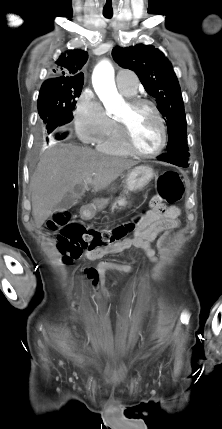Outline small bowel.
Segmentation results:
<instances>
[{"mask_svg": "<svg viewBox=\"0 0 222 429\" xmlns=\"http://www.w3.org/2000/svg\"><path fill=\"white\" fill-rule=\"evenodd\" d=\"M151 207L138 222L133 238L124 239L108 248L86 251L85 258L89 261H96L108 254H117L130 248H136L142 250L150 262L156 263L158 257L152 243L156 241L158 251L160 253L165 252L167 240L172 232L179 227L180 209L177 206H165L159 196L153 198ZM108 271L131 274L134 269L126 263L105 260L96 267L84 270L97 294L109 300L111 295L105 287L104 280Z\"/></svg>", "mask_w": 222, "mask_h": 429, "instance_id": "small-bowel-1", "label": "small bowel"}]
</instances>
